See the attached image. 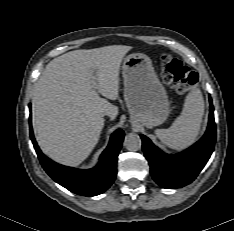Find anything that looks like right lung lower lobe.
Returning a JSON list of instances; mask_svg holds the SVG:
<instances>
[{
  "instance_id": "98d812e1",
  "label": "right lung lower lobe",
  "mask_w": 234,
  "mask_h": 231,
  "mask_svg": "<svg viewBox=\"0 0 234 231\" xmlns=\"http://www.w3.org/2000/svg\"><path fill=\"white\" fill-rule=\"evenodd\" d=\"M30 136L44 170L54 181L69 191L83 196H96L106 191L114 182L117 157L124 138V132L121 129L112 134L108 147L100 157L99 164L90 170L66 167L47 158L35 141L31 121Z\"/></svg>"
}]
</instances>
